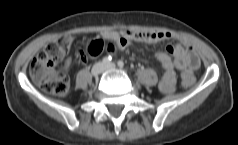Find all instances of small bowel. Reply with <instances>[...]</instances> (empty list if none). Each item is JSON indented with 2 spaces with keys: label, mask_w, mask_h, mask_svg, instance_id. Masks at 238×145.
I'll return each instance as SVG.
<instances>
[{
  "label": "small bowel",
  "mask_w": 238,
  "mask_h": 145,
  "mask_svg": "<svg viewBox=\"0 0 238 145\" xmlns=\"http://www.w3.org/2000/svg\"><path fill=\"white\" fill-rule=\"evenodd\" d=\"M102 35L106 39L115 41L120 50L126 49L133 41L146 43L157 41L172 42L168 45L167 50L173 55V59L166 52H157L154 55L164 69V75L159 83L160 91L164 94H169L175 90L176 71L182 73L183 81L186 77H190L193 83V72L199 66V59L193 46L187 41H181L172 32H141L122 29L119 31H106ZM69 65L70 60L66 62L65 67L67 68Z\"/></svg>",
  "instance_id": "c3829d8e"
}]
</instances>
